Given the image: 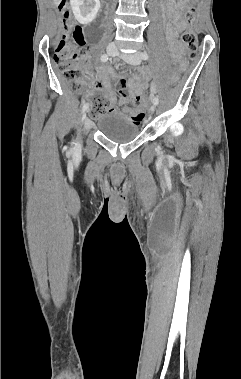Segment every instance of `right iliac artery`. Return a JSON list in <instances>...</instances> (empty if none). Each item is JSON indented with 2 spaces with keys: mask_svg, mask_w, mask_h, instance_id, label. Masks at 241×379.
<instances>
[{
  "mask_svg": "<svg viewBox=\"0 0 241 379\" xmlns=\"http://www.w3.org/2000/svg\"><path fill=\"white\" fill-rule=\"evenodd\" d=\"M100 59H101L102 62H106L108 60V55L107 54H103ZM87 108H88V103H85L83 105L82 110L85 111V110H87Z\"/></svg>",
  "mask_w": 241,
  "mask_h": 379,
  "instance_id": "obj_1",
  "label": "right iliac artery"
}]
</instances>
